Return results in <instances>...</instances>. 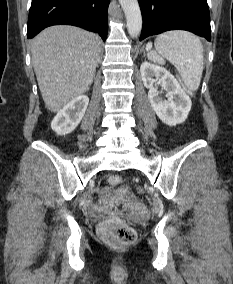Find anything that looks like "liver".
<instances>
[{"mask_svg": "<svg viewBox=\"0 0 233 284\" xmlns=\"http://www.w3.org/2000/svg\"><path fill=\"white\" fill-rule=\"evenodd\" d=\"M100 37L69 25L44 29L31 40L32 64L45 106L58 112L93 82Z\"/></svg>", "mask_w": 233, "mask_h": 284, "instance_id": "1", "label": "liver"}]
</instances>
